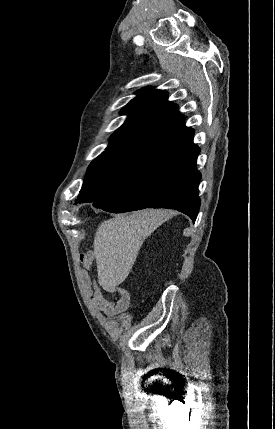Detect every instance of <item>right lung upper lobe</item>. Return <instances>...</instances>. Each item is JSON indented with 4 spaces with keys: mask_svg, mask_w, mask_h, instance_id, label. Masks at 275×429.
<instances>
[{
    "mask_svg": "<svg viewBox=\"0 0 275 429\" xmlns=\"http://www.w3.org/2000/svg\"><path fill=\"white\" fill-rule=\"evenodd\" d=\"M122 110L124 124L110 137L106 151L122 150L152 158L194 135L184 124L177 106L167 101V92L145 87Z\"/></svg>",
    "mask_w": 275,
    "mask_h": 429,
    "instance_id": "right-lung-upper-lobe-1",
    "label": "right lung upper lobe"
}]
</instances>
